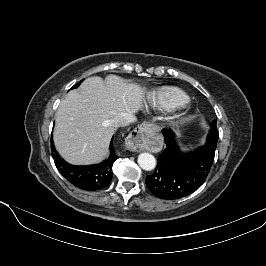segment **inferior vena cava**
I'll use <instances>...</instances> for the list:
<instances>
[{
    "label": "inferior vena cava",
    "mask_w": 266,
    "mask_h": 266,
    "mask_svg": "<svg viewBox=\"0 0 266 266\" xmlns=\"http://www.w3.org/2000/svg\"><path fill=\"white\" fill-rule=\"evenodd\" d=\"M136 118L133 114L122 113L111 120L113 127H125L134 122Z\"/></svg>",
    "instance_id": "inferior-vena-cava-1"
}]
</instances>
